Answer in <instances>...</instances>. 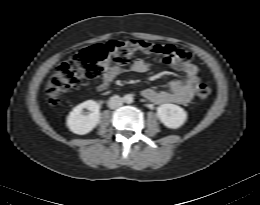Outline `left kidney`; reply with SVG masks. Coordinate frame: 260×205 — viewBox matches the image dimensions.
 <instances>
[{"instance_id":"5707ae66","label":"left kidney","mask_w":260,"mask_h":205,"mask_svg":"<svg viewBox=\"0 0 260 205\" xmlns=\"http://www.w3.org/2000/svg\"><path fill=\"white\" fill-rule=\"evenodd\" d=\"M160 121L170 129H178L187 120L186 111L175 104H162L157 108Z\"/></svg>"}]
</instances>
